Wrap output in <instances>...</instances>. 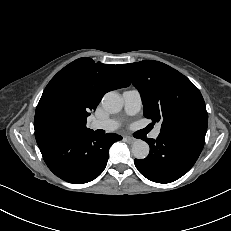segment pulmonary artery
Masks as SVG:
<instances>
[{"label":"pulmonary artery","instance_id":"e3ab8cb5","mask_svg":"<svg viewBox=\"0 0 231 231\" xmlns=\"http://www.w3.org/2000/svg\"><path fill=\"white\" fill-rule=\"evenodd\" d=\"M124 111L128 115L137 114L142 108V98L141 94L137 89L125 90L122 94ZM120 123L115 119H105V120H93L90 123L92 129H103L105 131H113L119 127ZM160 133V127H157L153 133L152 137L157 138Z\"/></svg>","mask_w":231,"mask_h":231}]
</instances>
